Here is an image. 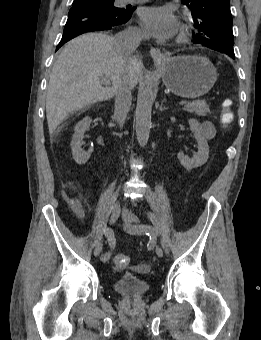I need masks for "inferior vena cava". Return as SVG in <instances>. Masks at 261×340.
<instances>
[{
	"label": "inferior vena cava",
	"instance_id": "602c4592",
	"mask_svg": "<svg viewBox=\"0 0 261 340\" xmlns=\"http://www.w3.org/2000/svg\"><path fill=\"white\" fill-rule=\"evenodd\" d=\"M144 37L142 31L128 28L115 35L114 44L118 53L128 57L136 50ZM131 89L130 82L124 78L116 86L114 118L120 125H123L131 106Z\"/></svg>",
	"mask_w": 261,
	"mask_h": 340
}]
</instances>
